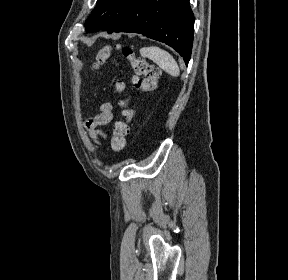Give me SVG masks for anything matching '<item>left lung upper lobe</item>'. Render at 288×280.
<instances>
[{
    "label": "left lung upper lobe",
    "instance_id": "obj_1",
    "mask_svg": "<svg viewBox=\"0 0 288 280\" xmlns=\"http://www.w3.org/2000/svg\"><path fill=\"white\" fill-rule=\"evenodd\" d=\"M139 0H97V6L85 22L88 32L112 33L123 17Z\"/></svg>",
    "mask_w": 288,
    "mask_h": 280
}]
</instances>
